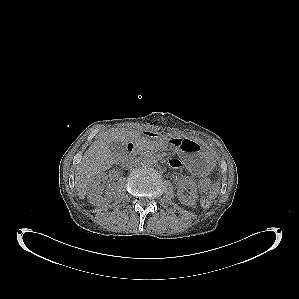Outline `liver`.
I'll return each instance as SVG.
<instances>
[{
	"mask_svg": "<svg viewBox=\"0 0 299 299\" xmlns=\"http://www.w3.org/2000/svg\"><path fill=\"white\" fill-rule=\"evenodd\" d=\"M137 135L138 131L132 129H111L89 146L75 172V187L80 199L85 198L88 185L95 176L110 169L115 163L118 155L109 152L110 143H127Z\"/></svg>",
	"mask_w": 299,
	"mask_h": 299,
	"instance_id": "6515ba94",
	"label": "liver"
}]
</instances>
